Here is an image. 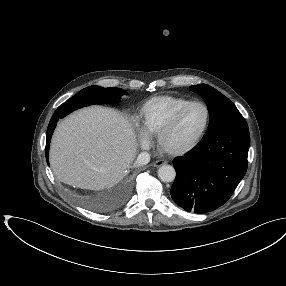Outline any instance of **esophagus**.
<instances>
[{
  "mask_svg": "<svg viewBox=\"0 0 286 286\" xmlns=\"http://www.w3.org/2000/svg\"><path fill=\"white\" fill-rule=\"evenodd\" d=\"M165 164H167V161H165V160H156V161H154L153 166L154 167H160V166L165 165Z\"/></svg>",
  "mask_w": 286,
  "mask_h": 286,
  "instance_id": "34e87169",
  "label": "esophagus"
}]
</instances>
